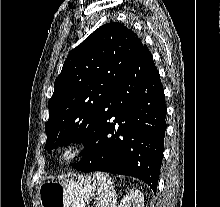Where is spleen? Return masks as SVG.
<instances>
[{"label":"spleen","instance_id":"spleen-1","mask_svg":"<svg viewBox=\"0 0 220 207\" xmlns=\"http://www.w3.org/2000/svg\"><path fill=\"white\" fill-rule=\"evenodd\" d=\"M93 179L97 182L99 194L97 207H115L116 194L111 177L103 172H95Z\"/></svg>","mask_w":220,"mask_h":207}]
</instances>
